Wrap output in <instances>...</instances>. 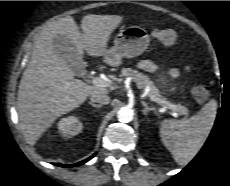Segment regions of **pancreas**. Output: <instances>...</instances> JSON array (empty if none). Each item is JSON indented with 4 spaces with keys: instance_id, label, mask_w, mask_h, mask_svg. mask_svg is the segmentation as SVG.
Instances as JSON below:
<instances>
[{
    "instance_id": "obj_1",
    "label": "pancreas",
    "mask_w": 230,
    "mask_h": 186,
    "mask_svg": "<svg viewBox=\"0 0 230 186\" xmlns=\"http://www.w3.org/2000/svg\"><path fill=\"white\" fill-rule=\"evenodd\" d=\"M120 76L131 77V79L136 83V85L139 88H141V89H144L146 87L149 88L148 95H151V96H154L160 100L166 101L165 98L160 94L159 89L154 85L153 81H151L147 75H144V74L138 72L137 70H132L131 68H123L121 70ZM175 106H176V112L179 115L188 116L189 111L185 106H182L180 104H177Z\"/></svg>"
}]
</instances>
